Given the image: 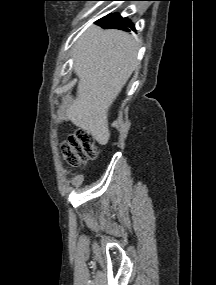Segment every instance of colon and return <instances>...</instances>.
Returning <instances> with one entry per match:
<instances>
[{"instance_id":"1","label":"colon","mask_w":216,"mask_h":285,"mask_svg":"<svg viewBox=\"0 0 216 285\" xmlns=\"http://www.w3.org/2000/svg\"><path fill=\"white\" fill-rule=\"evenodd\" d=\"M97 147L91 134L86 130H77L71 134L63 146V154L67 163L76 167L97 156Z\"/></svg>"}]
</instances>
